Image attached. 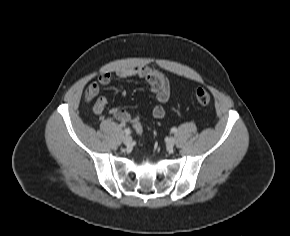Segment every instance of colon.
<instances>
[{
	"label": "colon",
	"instance_id": "1",
	"mask_svg": "<svg viewBox=\"0 0 290 236\" xmlns=\"http://www.w3.org/2000/svg\"><path fill=\"white\" fill-rule=\"evenodd\" d=\"M195 96H196L197 102L202 106L209 104L211 101V96L209 92L203 88H198L196 90ZM87 99H89V96H87ZM133 126L137 132L142 131V126L138 120L134 121Z\"/></svg>",
	"mask_w": 290,
	"mask_h": 236
}]
</instances>
